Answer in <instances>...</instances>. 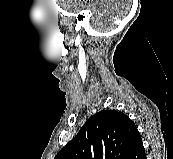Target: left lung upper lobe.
Listing matches in <instances>:
<instances>
[{"mask_svg": "<svg viewBox=\"0 0 173 159\" xmlns=\"http://www.w3.org/2000/svg\"><path fill=\"white\" fill-rule=\"evenodd\" d=\"M142 142L134 122L122 112L102 110L90 117L54 159H127Z\"/></svg>", "mask_w": 173, "mask_h": 159, "instance_id": "obj_1", "label": "left lung upper lobe"}]
</instances>
